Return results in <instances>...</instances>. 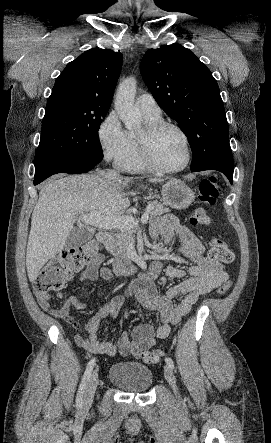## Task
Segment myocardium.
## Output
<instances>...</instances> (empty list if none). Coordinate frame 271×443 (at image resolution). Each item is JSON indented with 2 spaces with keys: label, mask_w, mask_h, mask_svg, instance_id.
I'll return each mask as SVG.
<instances>
[{
  "label": "myocardium",
  "mask_w": 271,
  "mask_h": 443,
  "mask_svg": "<svg viewBox=\"0 0 271 443\" xmlns=\"http://www.w3.org/2000/svg\"><path fill=\"white\" fill-rule=\"evenodd\" d=\"M166 128H172L178 131L181 136L183 137L187 149V157L185 162L178 166L173 168H168L162 166L156 159L154 154V142L157 137V135ZM140 142V148L142 153V158L144 163L148 166V168L152 169L153 171L160 172V173H176L180 172L184 169H186L192 160L193 157V148L191 144V140L186 133V131L179 125L173 122H169L166 120H158L155 122H152L148 124L139 137Z\"/></svg>",
  "instance_id": "1"
}]
</instances>
